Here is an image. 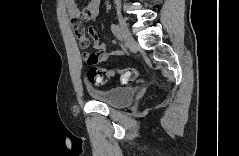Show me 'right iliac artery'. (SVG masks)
<instances>
[{
	"instance_id": "obj_1",
	"label": "right iliac artery",
	"mask_w": 239,
	"mask_h": 156,
	"mask_svg": "<svg viewBox=\"0 0 239 156\" xmlns=\"http://www.w3.org/2000/svg\"><path fill=\"white\" fill-rule=\"evenodd\" d=\"M111 30L113 32V34L115 35V37L119 40V41H123V36L120 30V27L116 24H112L111 25Z\"/></svg>"
}]
</instances>
